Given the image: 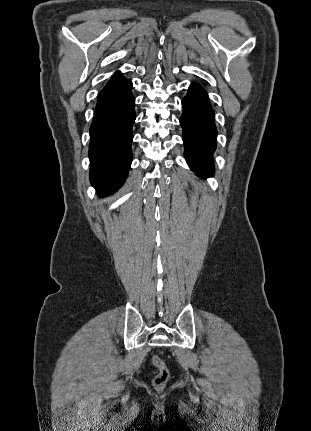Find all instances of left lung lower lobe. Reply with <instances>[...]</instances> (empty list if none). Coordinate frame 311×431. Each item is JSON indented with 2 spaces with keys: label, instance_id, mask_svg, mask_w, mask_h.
Masks as SVG:
<instances>
[{
  "label": "left lung lower lobe",
  "instance_id": "left-lung-lower-lobe-1",
  "mask_svg": "<svg viewBox=\"0 0 311 431\" xmlns=\"http://www.w3.org/2000/svg\"><path fill=\"white\" fill-rule=\"evenodd\" d=\"M182 106L180 124L186 160L198 175L211 176L214 172L212 154L216 148L217 130L206 91L199 84H192L182 100Z\"/></svg>",
  "mask_w": 311,
  "mask_h": 431
}]
</instances>
